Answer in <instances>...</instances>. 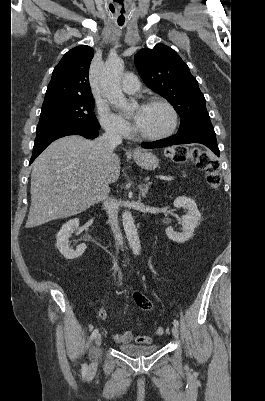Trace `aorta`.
Returning <instances> with one entry per match:
<instances>
[{
  "label": "aorta",
  "instance_id": "1",
  "mask_svg": "<svg viewBox=\"0 0 265 401\" xmlns=\"http://www.w3.org/2000/svg\"><path fill=\"white\" fill-rule=\"evenodd\" d=\"M123 68V60H106L101 72V84L105 98H108L115 106H122V108L123 106H128L127 98H125L120 86ZM122 223L134 255H140V239L131 211H124Z\"/></svg>",
  "mask_w": 265,
  "mask_h": 401
}]
</instances>
